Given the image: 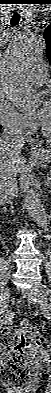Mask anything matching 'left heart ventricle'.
I'll list each match as a JSON object with an SVG mask.
<instances>
[{
    "mask_svg": "<svg viewBox=\"0 0 51 393\" xmlns=\"http://www.w3.org/2000/svg\"><path fill=\"white\" fill-rule=\"evenodd\" d=\"M49 107V106H48ZM46 130H51V109H48V114L45 123L43 124Z\"/></svg>",
    "mask_w": 51,
    "mask_h": 393,
    "instance_id": "b2bd125f",
    "label": "left heart ventricle"
}]
</instances>
